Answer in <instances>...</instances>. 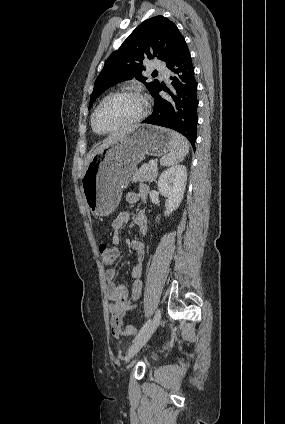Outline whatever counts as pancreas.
<instances>
[{
  "label": "pancreas",
  "mask_w": 285,
  "mask_h": 424,
  "mask_svg": "<svg viewBox=\"0 0 285 424\" xmlns=\"http://www.w3.org/2000/svg\"><path fill=\"white\" fill-rule=\"evenodd\" d=\"M158 175L157 163L143 164L133 176V182H152L156 179Z\"/></svg>",
  "instance_id": "cf45deb5"
}]
</instances>
